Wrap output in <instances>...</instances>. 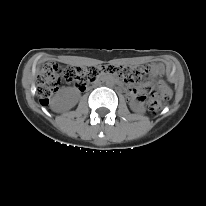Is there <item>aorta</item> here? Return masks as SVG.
Here are the masks:
<instances>
[{"instance_id":"762f6f07","label":"aorta","mask_w":206,"mask_h":206,"mask_svg":"<svg viewBox=\"0 0 206 206\" xmlns=\"http://www.w3.org/2000/svg\"><path fill=\"white\" fill-rule=\"evenodd\" d=\"M106 84H107L108 86L113 85V81H112L111 79H108V80L106 81Z\"/></svg>"}]
</instances>
